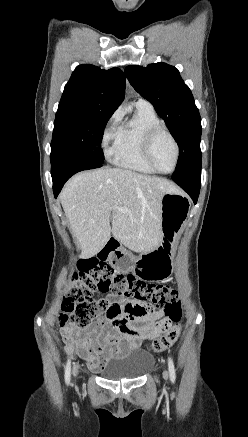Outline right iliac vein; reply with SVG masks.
<instances>
[{"label":"right iliac vein","mask_w":248,"mask_h":437,"mask_svg":"<svg viewBox=\"0 0 248 437\" xmlns=\"http://www.w3.org/2000/svg\"><path fill=\"white\" fill-rule=\"evenodd\" d=\"M73 372H74V375L76 376L77 373H78V370H77V367H76V366L74 367V371H73Z\"/></svg>","instance_id":"63e3f726"}]
</instances>
